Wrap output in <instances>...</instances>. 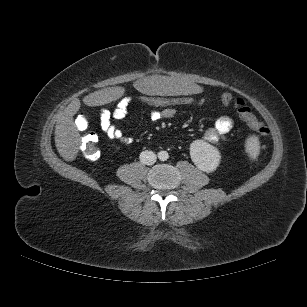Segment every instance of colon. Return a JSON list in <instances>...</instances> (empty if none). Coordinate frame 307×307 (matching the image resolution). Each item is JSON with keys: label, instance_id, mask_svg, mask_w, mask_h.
I'll return each mask as SVG.
<instances>
[{"label": "colon", "instance_id": "obj_1", "mask_svg": "<svg viewBox=\"0 0 307 307\" xmlns=\"http://www.w3.org/2000/svg\"><path fill=\"white\" fill-rule=\"evenodd\" d=\"M223 105L233 104L239 117L245 121L260 135H268V127L259 121L253 114L251 108L241 98H235L231 93H223L220 97ZM209 102L208 99L196 95H174V96H152L142 95L139 97H130L125 103L128 110L132 104L154 107L158 109L173 108L176 105H197L202 106ZM77 127L83 131L81 137V150L86 158L95 161L100 157L99 148L97 146L98 136L94 132H87L88 118L81 113L76 118Z\"/></svg>", "mask_w": 307, "mask_h": 307}]
</instances>
